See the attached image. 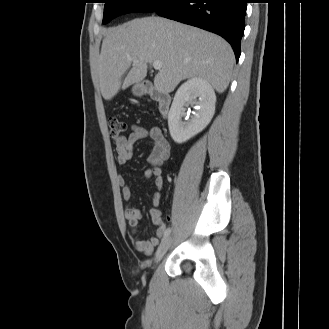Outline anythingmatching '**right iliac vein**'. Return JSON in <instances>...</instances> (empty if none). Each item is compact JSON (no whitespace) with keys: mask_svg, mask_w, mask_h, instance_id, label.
Here are the masks:
<instances>
[{"mask_svg":"<svg viewBox=\"0 0 329 329\" xmlns=\"http://www.w3.org/2000/svg\"><path fill=\"white\" fill-rule=\"evenodd\" d=\"M170 244H171L170 237H166L165 239H163V241L161 242L155 253V257H154L155 262L160 261V259L165 255V253L169 249Z\"/></svg>","mask_w":329,"mask_h":329,"instance_id":"1","label":"right iliac vein"}]
</instances>
